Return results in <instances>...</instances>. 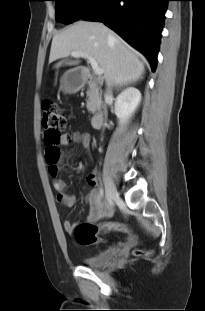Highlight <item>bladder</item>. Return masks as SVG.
<instances>
[{
	"label": "bladder",
	"mask_w": 205,
	"mask_h": 311,
	"mask_svg": "<svg viewBox=\"0 0 205 311\" xmlns=\"http://www.w3.org/2000/svg\"><path fill=\"white\" fill-rule=\"evenodd\" d=\"M118 254L119 248L111 246L97 252L85 253L82 256V262L90 268H101L113 262Z\"/></svg>",
	"instance_id": "bladder-1"
}]
</instances>
